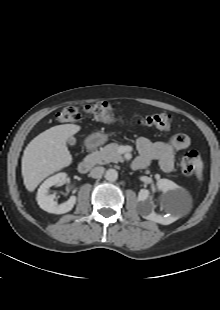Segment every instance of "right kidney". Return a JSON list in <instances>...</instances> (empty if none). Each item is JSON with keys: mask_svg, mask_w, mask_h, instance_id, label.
Returning <instances> with one entry per match:
<instances>
[{"mask_svg": "<svg viewBox=\"0 0 220 310\" xmlns=\"http://www.w3.org/2000/svg\"><path fill=\"white\" fill-rule=\"evenodd\" d=\"M66 177V173H58L46 179L38 189L37 202L40 208H42L44 211L54 214H64L72 210L74 207L76 203L75 196H71L67 202L58 205L54 200L55 196L48 194V190L51 186L63 185L65 183Z\"/></svg>", "mask_w": 220, "mask_h": 310, "instance_id": "1", "label": "right kidney"}]
</instances>
